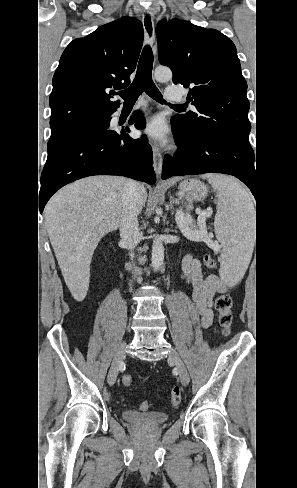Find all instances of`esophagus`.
Masks as SVG:
<instances>
[{"instance_id": "34e87169", "label": "esophagus", "mask_w": 297, "mask_h": 488, "mask_svg": "<svg viewBox=\"0 0 297 488\" xmlns=\"http://www.w3.org/2000/svg\"><path fill=\"white\" fill-rule=\"evenodd\" d=\"M142 24L145 32V37L148 45L153 47L155 40L154 18L150 9H145L142 17ZM153 150V167L155 173L160 177L162 172L163 158L160 149L157 145L152 146Z\"/></svg>"}]
</instances>
